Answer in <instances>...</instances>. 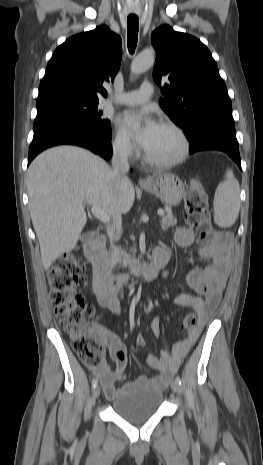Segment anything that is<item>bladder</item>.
<instances>
[{
    "label": "bladder",
    "mask_w": 263,
    "mask_h": 465,
    "mask_svg": "<svg viewBox=\"0 0 263 465\" xmlns=\"http://www.w3.org/2000/svg\"><path fill=\"white\" fill-rule=\"evenodd\" d=\"M163 401L160 391L146 386L134 387L113 400L112 411L132 424H141L155 415Z\"/></svg>",
    "instance_id": "bladder-1"
}]
</instances>
